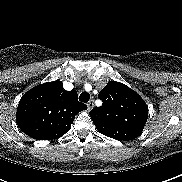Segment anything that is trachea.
I'll use <instances>...</instances> for the list:
<instances>
[{
  "instance_id": "1",
  "label": "trachea",
  "mask_w": 182,
  "mask_h": 182,
  "mask_svg": "<svg viewBox=\"0 0 182 182\" xmlns=\"http://www.w3.org/2000/svg\"><path fill=\"white\" fill-rule=\"evenodd\" d=\"M90 99V94L87 92H82L79 96V100L83 103H87Z\"/></svg>"
}]
</instances>
